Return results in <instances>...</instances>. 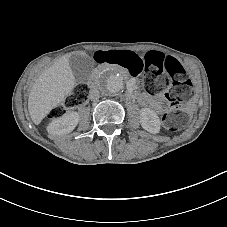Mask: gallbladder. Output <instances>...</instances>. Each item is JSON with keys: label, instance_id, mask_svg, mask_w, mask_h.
<instances>
[{"label": "gallbladder", "instance_id": "1", "mask_svg": "<svg viewBox=\"0 0 227 227\" xmlns=\"http://www.w3.org/2000/svg\"><path fill=\"white\" fill-rule=\"evenodd\" d=\"M95 62L88 55H75L73 54L70 57V66L73 71V75L75 77L76 82L85 83L88 81Z\"/></svg>", "mask_w": 227, "mask_h": 227}]
</instances>
